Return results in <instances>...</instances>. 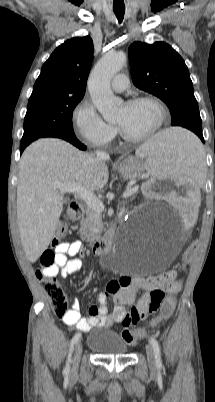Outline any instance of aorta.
<instances>
[{"instance_id":"aorta-1","label":"aorta","mask_w":215,"mask_h":402,"mask_svg":"<svg viewBox=\"0 0 215 402\" xmlns=\"http://www.w3.org/2000/svg\"><path fill=\"white\" fill-rule=\"evenodd\" d=\"M125 63V53H107L94 66L88 79V90L92 102L106 121L116 118L122 104V100L113 94L110 82ZM123 261V257H117L112 261V266L120 268Z\"/></svg>"}]
</instances>
